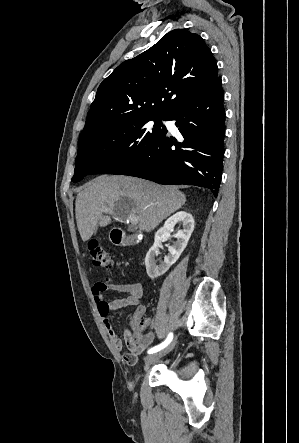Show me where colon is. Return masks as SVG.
Returning <instances> with one entry per match:
<instances>
[{
    "mask_svg": "<svg viewBox=\"0 0 299 443\" xmlns=\"http://www.w3.org/2000/svg\"><path fill=\"white\" fill-rule=\"evenodd\" d=\"M88 252L94 265L107 270L111 268L112 259L109 253L99 244L98 241L90 240L88 242ZM131 322L134 325H139L141 328L145 327L147 324V321L138 312L134 313ZM138 331L140 332V330Z\"/></svg>",
    "mask_w": 299,
    "mask_h": 443,
    "instance_id": "1",
    "label": "colon"
}]
</instances>
